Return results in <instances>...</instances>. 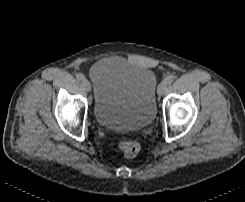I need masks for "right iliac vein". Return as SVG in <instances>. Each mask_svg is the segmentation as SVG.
Masks as SVG:
<instances>
[{
  "label": "right iliac vein",
  "mask_w": 245,
  "mask_h": 202,
  "mask_svg": "<svg viewBox=\"0 0 245 202\" xmlns=\"http://www.w3.org/2000/svg\"><path fill=\"white\" fill-rule=\"evenodd\" d=\"M82 85L88 92L91 91V84L87 79L82 80Z\"/></svg>",
  "instance_id": "1"
}]
</instances>
